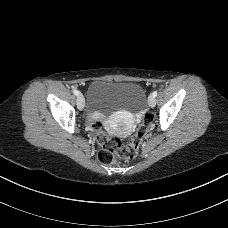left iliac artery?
I'll use <instances>...</instances> for the list:
<instances>
[{"instance_id": "left-iliac-artery-1", "label": "left iliac artery", "mask_w": 228, "mask_h": 228, "mask_svg": "<svg viewBox=\"0 0 228 228\" xmlns=\"http://www.w3.org/2000/svg\"><path fill=\"white\" fill-rule=\"evenodd\" d=\"M152 95H153L154 97H156V96H157V90L153 91Z\"/></svg>"}]
</instances>
